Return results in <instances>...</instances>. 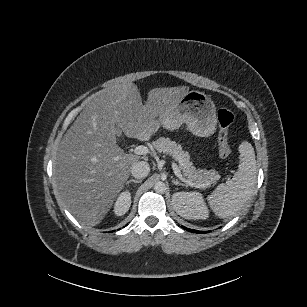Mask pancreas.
Wrapping results in <instances>:
<instances>
[{"mask_svg": "<svg viewBox=\"0 0 307 307\" xmlns=\"http://www.w3.org/2000/svg\"><path fill=\"white\" fill-rule=\"evenodd\" d=\"M155 148L159 153H166L176 159L180 160L181 172L193 185L202 189L215 186L221 176L220 172L211 170H195L193 163L190 162V156L188 152L182 150L181 145L175 141H171L169 138L160 137L155 141Z\"/></svg>", "mask_w": 307, "mask_h": 307, "instance_id": "obj_1", "label": "pancreas"}]
</instances>
